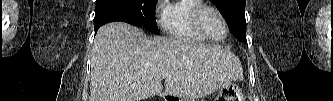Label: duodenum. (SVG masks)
<instances>
[{
	"mask_svg": "<svg viewBox=\"0 0 333 101\" xmlns=\"http://www.w3.org/2000/svg\"><path fill=\"white\" fill-rule=\"evenodd\" d=\"M165 98L168 99V98H170V97H169V96H166Z\"/></svg>",
	"mask_w": 333,
	"mask_h": 101,
	"instance_id": "410a0bca",
	"label": "duodenum"
}]
</instances>
